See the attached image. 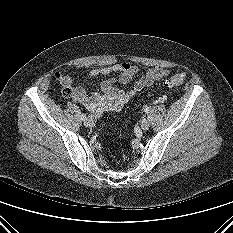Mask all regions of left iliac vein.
I'll return each mask as SVG.
<instances>
[{
  "label": "left iliac vein",
  "mask_w": 233,
  "mask_h": 233,
  "mask_svg": "<svg viewBox=\"0 0 233 233\" xmlns=\"http://www.w3.org/2000/svg\"><path fill=\"white\" fill-rule=\"evenodd\" d=\"M140 126L142 130L146 131L149 129L150 123L147 119H143Z\"/></svg>",
  "instance_id": "1"
}]
</instances>
